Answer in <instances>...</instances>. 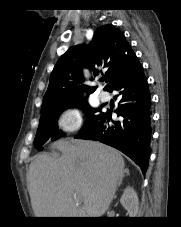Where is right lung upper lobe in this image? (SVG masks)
Segmentation results:
<instances>
[{"label": "right lung upper lobe", "mask_w": 181, "mask_h": 227, "mask_svg": "<svg viewBox=\"0 0 181 227\" xmlns=\"http://www.w3.org/2000/svg\"><path fill=\"white\" fill-rule=\"evenodd\" d=\"M135 56L124 34L113 25L99 27L92 41L84 46H73L57 61L44 96L41 109L80 99L86 88L82 83V68L87 67L94 75L105 71L108 90L120 76L126 62ZM96 87H89L88 93Z\"/></svg>", "instance_id": "cb5924a9"}]
</instances>
